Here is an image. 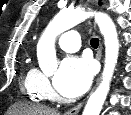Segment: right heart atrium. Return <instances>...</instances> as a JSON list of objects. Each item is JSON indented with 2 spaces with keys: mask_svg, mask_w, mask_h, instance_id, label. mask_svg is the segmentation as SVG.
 Returning a JSON list of instances; mask_svg holds the SVG:
<instances>
[{
  "mask_svg": "<svg viewBox=\"0 0 131 115\" xmlns=\"http://www.w3.org/2000/svg\"><path fill=\"white\" fill-rule=\"evenodd\" d=\"M38 87H39L41 93L45 97L51 98L53 96V91L50 86V82H49L48 78L43 74H41V76L39 78Z\"/></svg>",
  "mask_w": 131,
  "mask_h": 115,
  "instance_id": "1",
  "label": "right heart atrium"
}]
</instances>
